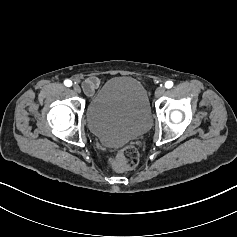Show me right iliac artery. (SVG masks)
Instances as JSON below:
<instances>
[{"instance_id":"82829eb1","label":"right iliac artery","mask_w":237,"mask_h":237,"mask_svg":"<svg viewBox=\"0 0 237 237\" xmlns=\"http://www.w3.org/2000/svg\"><path fill=\"white\" fill-rule=\"evenodd\" d=\"M64 85L70 87L72 85V81L67 79L64 81Z\"/></svg>"}]
</instances>
